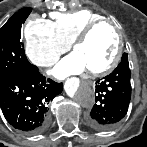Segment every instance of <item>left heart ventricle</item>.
<instances>
[{"label":"left heart ventricle","mask_w":147,"mask_h":147,"mask_svg":"<svg viewBox=\"0 0 147 147\" xmlns=\"http://www.w3.org/2000/svg\"><path fill=\"white\" fill-rule=\"evenodd\" d=\"M117 42V34L112 27L100 26L74 51L87 70H98L110 63L116 51Z\"/></svg>","instance_id":"1"}]
</instances>
